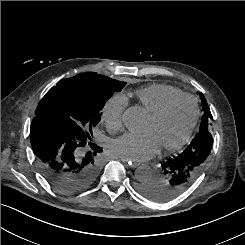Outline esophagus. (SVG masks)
Segmentation results:
<instances>
[{
    "instance_id": "esophagus-1",
    "label": "esophagus",
    "mask_w": 245,
    "mask_h": 245,
    "mask_svg": "<svg viewBox=\"0 0 245 245\" xmlns=\"http://www.w3.org/2000/svg\"><path fill=\"white\" fill-rule=\"evenodd\" d=\"M121 161L123 163L126 164L127 167L131 168V169H134L136 168L137 166H139V163L135 162V161H132V160H128V159H124V158H121Z\"/></svg>"
}]
</instances>
